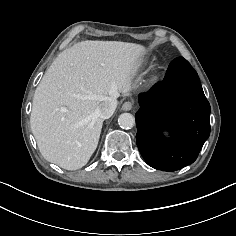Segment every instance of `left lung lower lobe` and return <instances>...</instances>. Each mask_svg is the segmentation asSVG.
<instances>
[{
	"mask_svg": "<svg viewBox=\"0 0 236 236\" xmlns=\"http://www.w3.org/2000/svg\"><path fill=\"white\" fill-rule=\"evenodd\" d=\"M138 98L136 140L147 164L176 171L193 163L210 135V104L190 63L174 59L164 80ZM164 129L170 140L163 136Z\"/></svg>",
	"mask_w": 236,
	"mask_h": 236,
	"instance_id": "0a47b994",
	"label": "left lung lower lobe"
}]
</instances>
